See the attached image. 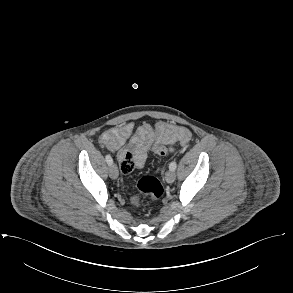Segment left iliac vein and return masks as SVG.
Returning <instances> with one entry per match:
<instances>
[{
    "label": "left iliac vein",
    "mask_w": 293,
    "mask_h": 293,
    "mask_svg": "<svg viewBox=\"0 0 293 293\" xmlns=\"http://www.w3.org/2000/svg\"><path fill=\"white\" fill-rule=\"evenodd\" d=\"M175 178H176V175H175L174 171L169 170L166 172L165 179L168 183H173Z\"/></svg>",
    "instance_id": "obj_1"
}]
</instances>
